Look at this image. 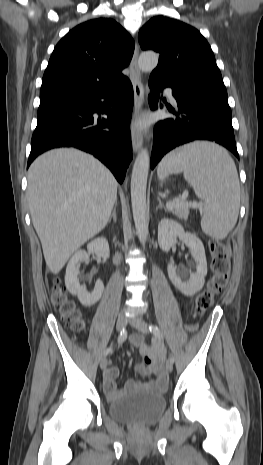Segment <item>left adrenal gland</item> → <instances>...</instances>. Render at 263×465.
I'll return each instance as SVG.
<instances>
[{
    "instance_id": "obj_1",
    "label": "left adrenal gland",
    "mask_w": 263,
    "mask_h": 465,
    "mask_svg": "<svg viewBox=\"0 0 263 465\" xmlns=\"http://www.w3.org/2000/svg\"><path fill=\"white\" fill-rule=\"evenodd\" d=\"M158 203H159V204H158V206L156 207V210L162 209V208H163L165 211H167L166 207L162 204L160 197H158Z\"/></svg>"
}]
</instances>
